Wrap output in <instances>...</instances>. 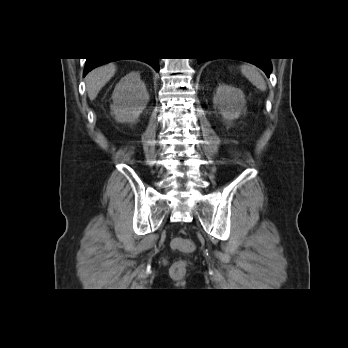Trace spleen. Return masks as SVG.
I'll list each match as a JSON object with an SVG mask.
<instances>
[{
    "label": "spleen",
    "mask_w": 348,
    "mask_h": 348,
    "mask_svg": "<svg viewBox=\"0 0 348 348\" xmlns=\"http://www.w3.org/2000/svg\"><path fill=\"white\" fill-rule=\"evenodd\" d=\"M242 74L260 91L267 88L266 82L257 67L251 64H243L240 66Z\"/></svg>",
    "instance_id": "1"
}]
</instances>
